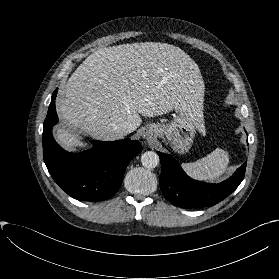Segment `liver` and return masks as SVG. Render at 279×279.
I'll use <instances>...</instances> for the list:
<instances>
[{"label":"liver","instance_id":"6515ba94","mask_svg":"<svg viewBox=\"0 0 279 279\" xmlns=\"http://www.w3.org/2000/svg\"><path fill=\"white\" fill-rule=\"evenodd\" d=\"M203 99L199 67L179 47L140 42L100 48L75 70L57 99L66 125L55 137L68 150L87 146L73 133L76 128L97 140H118L122 127L131 125L134 131L141 125V116L181 105L200 112ZM200 131L205 134L203 125Z\"/></svg>","mask_w":279,"mask_h":279}]
</instances>
